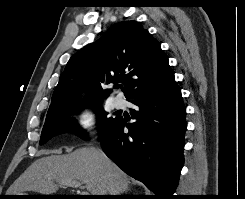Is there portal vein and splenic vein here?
<instances>
[{"mask_svg":"<svg viewBox=\"0 0 245 199\" xmlns=\"http://www.w3.org/2000/svg\"><path fill=\"white\" fill-rule=\"evenodd\" d=\"M59 183L62 184V185H68V186H72V187H75V188H82L81 183L76 181V180H73V181H61ZM81 195H90V194L87 191H82Z\"/></svg>","mask_w":245,"mask_h":199,"instance_id":"18ae733b","label":"portal vein and splenic vein"}]
</instances>
